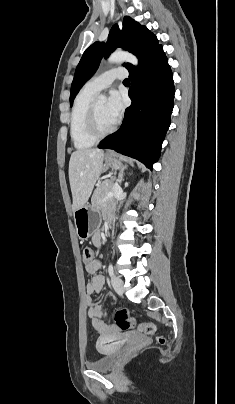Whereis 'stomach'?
Wrapping results in <instances>:
<instances>
[{
  "label": "stomach",
  "instance_id": "obj_1",
  "mask_svg": "<svg viewBox=\"0 0 235 404\" xmlns=\"http://www.w3.org/2000/svg\"><path fill=\"white\" fill-rule=\"evenodd\" d=\"M124 159L117 155L105 157V168L115 170H123L126 166L123 164ZM76 234L79 239H88L99 227L101 215L99 210L91 205H84L73 213Z\"/></svg>",
  "mask_w": 235,
  "mask_h": 404
}]
</instances>
